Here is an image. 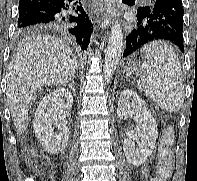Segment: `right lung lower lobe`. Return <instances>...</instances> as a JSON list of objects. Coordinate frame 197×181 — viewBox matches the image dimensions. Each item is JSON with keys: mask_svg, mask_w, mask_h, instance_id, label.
<instances>
[{"mask_svg": "<svg viewBox=\"0 0 197 181\" xmlns=\"http://www.w3.org/2000/svg\"><path fill=\"white\" fill-rule=\"evenodd\" d=\"M81 0H20L18 27L51 28L70 35L85 50L92 32ZM67 11L76 14L69 15Z\"/></svg>", "mask_w": 197, "mask_h": 181, "instance_id": "obj_1", "label": "right lung lower lobe"}]
</instances>
